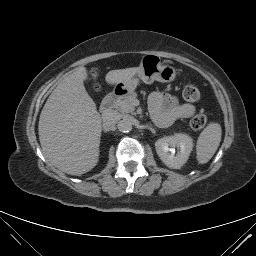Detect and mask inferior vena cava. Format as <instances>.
<instances>
[{
    "label": "inferior vena cava",
    "instance_id": "inferior-vena-cava-1",
    "mask_svg": "<svg viewBox=\"0 0 256 256\" xmlns=\"http://www.w3.org/2000/svg\"><path fill=\"white\" fill-rule=\"evenodd\" d=\"M103 127L106 130H111L120 120V114L115 110H107L102 114Z\"/></svg>",
    "mask_w": 256,
    "mask_h": 256
}]
</instances>
